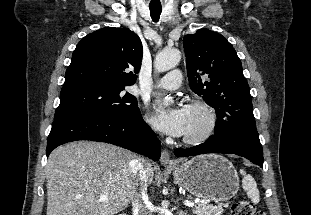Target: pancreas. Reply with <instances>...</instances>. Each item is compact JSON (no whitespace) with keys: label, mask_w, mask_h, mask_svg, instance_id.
I'll list each match as a JSON object with an SVG mask.
<instances>
[{"label":"pancreas","mask_w":311,"mask_h":215,"mask_svg":"<svg viewBox=\"0 0 311 215\" xmlns=\"http://www.w3.org/2000/svg\"><path fill=\"white\" fill-rule=\"evenodd\" d=\"M192 211L196 215H222L224 212L221 206H213L206 202H198Z\"/></svg>","instance_id":"obj_1"}]
</instances>
